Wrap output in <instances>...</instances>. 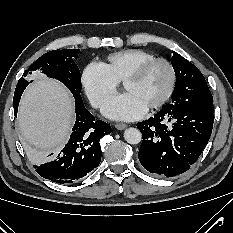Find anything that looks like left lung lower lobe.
<instances>
[{
	"instance_id": "1",
	"label": "left lung lower lobe",
	"mask_w": 233,
	"mask_h": 233,
	"mask_svg": "<svg viewBox=\"0 0 233 233\" xmlns=\"http://www.w3.org/2000/svg\"><path fill=\"white\" fill-rule=\"evenodd\" d=\"M213 122V113L164 106L154 117L137 124L143 137L140 163L160 176L187 171L205 148Z\"/></svg>"
}]
</instances>
